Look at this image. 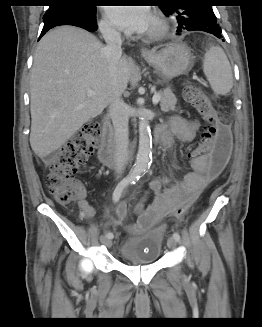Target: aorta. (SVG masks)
<instances>
[{
	"label": "aorta",
	"instance_id": "obj_1",
	"mask_svg": "<svg viewBox=\"0 0 262 327\" xmlns=\"http://www.w3.org/2000/svg\"><path fill=\"white\" fill-rule=\"evenodd\" d=\"M152 151V137L149 121L143 116L139 121V147L134 166L129 175L137 178L150 166Z\"/></svg>",
	"mask_w": 262,
	"mask_h": 327
}]
</instances>
